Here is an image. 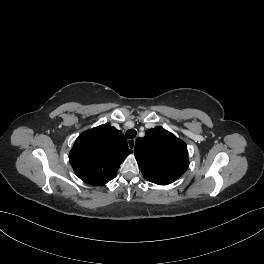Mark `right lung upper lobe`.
I'll use <instances>...</instances> for the list:
<instances>
[{
  "label": "right lung upper lobe",
  "mask_w": 264,
  "mask_h": 264,
  "mask_svg": "<svg viewBox=\"0 0 264 264\" xmlns=\"http://www.w3.org/2000/svg\"><path fill=\"white\" fill-rule=\"evenodd\" d=\"M130 153L132 150L122 132L106 123L79 135L69 160L81 180L104 185L116 177L121 163Z\"/></svg>",
  "instance_id": "right-lung-upper-lobe-1"
}]
</instances>
